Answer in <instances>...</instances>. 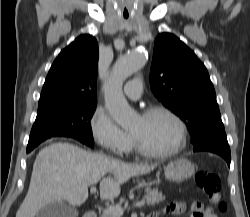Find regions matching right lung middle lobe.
<instances>
[{
  "label": "right lung middle lobe",
  "mask_w": 250,
  "mask_h": 217,
  "mask_svg": "<svg viewBox=\"0 0 250 217\" xmlns=\"http://www.w3.org/2000/svg\"><path fill=\"white\" fill-rule=\"evenodd\" d=\"M95 108L96 103H82L38 112L29 137L27 153L44 140L55 136L71 137L93 147L90 120Z\"/></svg>",
  "instance_id": "1"
}]
</instances>
